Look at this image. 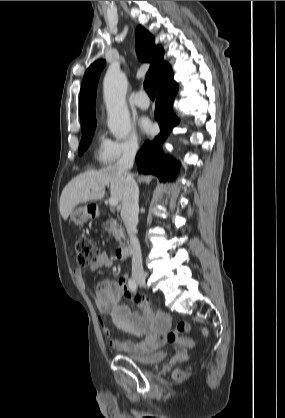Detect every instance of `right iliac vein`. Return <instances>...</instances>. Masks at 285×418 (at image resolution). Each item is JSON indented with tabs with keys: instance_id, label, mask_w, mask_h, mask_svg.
I'll return each instance as SVG.
<instances>
[{
	"instance_id": "1",
	"label": "right iliac vein",
	"mask_w": 285,
	"mask_h": 418,
	"mask_svg": "<svg viewBox=\"0 0 285 418\" xmlns=\"http://www.w3.org/2000/svg\"><path fill=\"white\" fill-rule=\"evenodd\" d=\"M134 279L138 284L146 286V279L144 275H137L134 277Z\"/></svg>"
}]
</instances>
